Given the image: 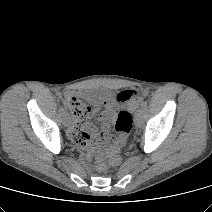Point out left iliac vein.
Instances as JSON below:
<instances>
[{
	"mask_svg": "<svg viewBox=\"0 0 212 212\" xmlns=\"http://www.w3.org/2000/svg\"><path fill=\"white\" fill-rule=\"evenodd\" d=\"M142 120H143V110L141 108H139L134 116V123L136 125V127H140L142 124Z\"/></svg>",
	"mask_w": 212,
	"mask_h": 212,
	"instance_id": "obj_1",
	"label": "left iliac vein"
}]
</instances>
